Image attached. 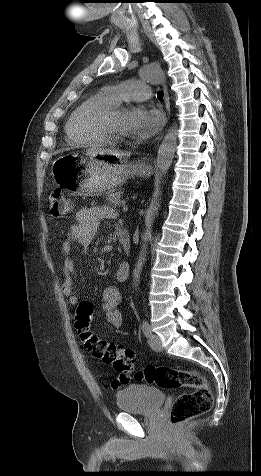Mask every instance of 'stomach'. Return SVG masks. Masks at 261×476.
I'll use <instances>...</instances> for the list:
<instances>
[{
    "label": "stomach",
    "instance_id": "1",
    "mask_svg": "<svg viewBox=\"0 0 261 476\" xmlns=\"http://www.w3.org/2000/svg\"><path fill=\"white\" fill-rule=\"evenodd\" d=\"M114 159V152L96 151L59 156V164H54L56 183L71 195H94L110 191L130 177H147L152 172L151 166L139 162H109Z\"/></svg>",
    "mask_w": 261,
    "mask_h": 476
}]
</instances>
